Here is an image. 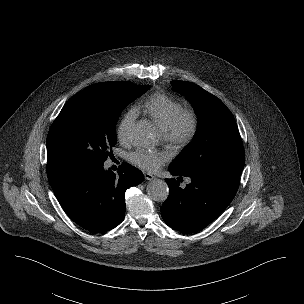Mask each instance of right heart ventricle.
<instances>
[{"label": "right heart ventricle", "instance_id": "1", "mask_svg": "<svg viewBox=\"0 0 304 304\" xmlns=\"http://www.w3.org/2000/svg\"><path fill=\"white\" fill-rule=\"evenodd\" d=\"M182 108L180 102L164 93H153L141 104V109L163 130Z\"/></svg>", "mask_w": 304, "mask_h": 304}]
</instances>
